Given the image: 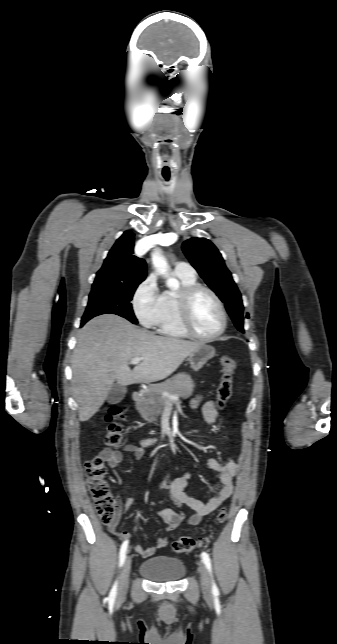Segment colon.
<instances>
[{
  "label": "colon",
  "instance_id": "obj_1",
  "mask_svg": "<svg viewBox=\"0 0 337 644\" xmlns=\"http://www.w3.org/2000/svg\"><path fill=\"white\" fill-rule=\"evenodd\" d=\"M221 379L216 389V405L222 408L232 396L233 375L236 369V361L228 356L219 360ZM124 419V410L121 407L113 406L106 415L108 423L105 445L109 449H117L122 443L123 428L121 421ZM86 478L89 492L94 502L98 517L104 524H110L116 518V502L111 490L110 483L106 477L105 462L100 457H94L86 462ZM227 518L226 509L221 508L216 515L218 523H224ZM208 543V538L197 539L190 536H181L172 545L176 553H185Z\"/></svg>",
  "mask_w": 337,
  "mask_h": 644
}]
</instances>
